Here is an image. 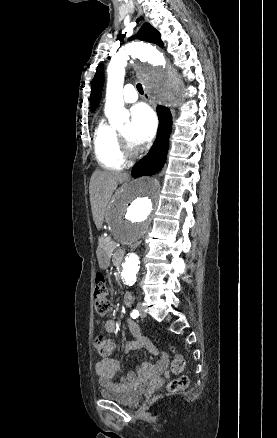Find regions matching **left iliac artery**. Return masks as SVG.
<instances>
[{
	"label": "left iliac artery",
	"instance_id": "44dca946",
	"mask_svg": "<svg viewBox=\"0 0 277 438\" xmlns=\"http://www.w3.org/2000/svg\"><path fill=\"white\" fill-rule=\"evenodd\" d=\"M138 316H139V312L136 309L132 310L131 317L132 318H137Z\"/></svg>",
	"mask_w": 277,
	"mask_h": 438
}]
</instances>
